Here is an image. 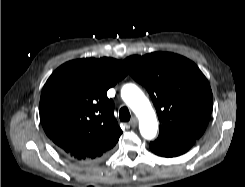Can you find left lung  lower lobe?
Listing matches in <instances>:
<instances>
[{
	"mask_svg": "<svg viewBox=\"0 0 245 187\" xmlns=\"http://www.w3.org/2000/svg\"><path fill=\"white\" fill-rule=\"evenodd\" d=\"M197 139L183 138L173 140L157 139L150 143V149L162 157H177L187 152Z\"/></svg>",
	"mask_w": 245,
	"mask_h": 187,
	"instance_id": "obj_1",
	"label": "left lung lower lobe"
}]
</instances>
